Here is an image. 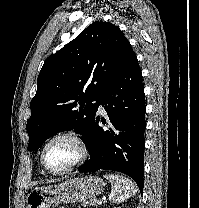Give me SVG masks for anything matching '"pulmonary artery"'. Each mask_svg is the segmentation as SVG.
<instances>
[{"label":"pulmonary artery","mask_w":199,"mask_h":208,"mask_svg":"<svg viewBox=\"0 0 199 208\" xmlns=\"http://www.w3.org/2000/svg\"><path fill=\"white\" fill-rule=\"evenodd\" d=\"M99 111H100V112H104V108H103L102 105L99 106Z\"/></svg>","instance_id":"1"}]
</instances>
